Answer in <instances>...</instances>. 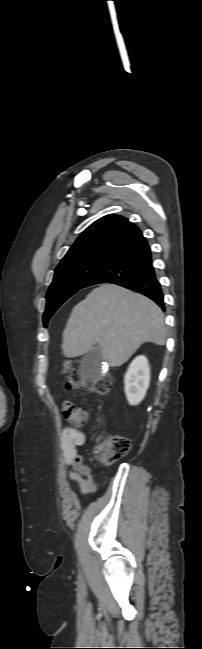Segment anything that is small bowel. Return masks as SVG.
<instances>
[{"instance_id": "1", "label": "small bowel", "mask_w": 202, "mask_h": 649, "mask_svg": "<svg viewBox=\"0 0 202 649\" xmlns=\"http://www.w3.org/2000/svg\"><path fill=\"white\" fill-rule=\"evenodd\" d=\"M86 442L85 434L75 428L65 427L61 436V450L67 466L70 468L68 479L77 483L82 494L94 497L97 493V484L92 476L91 468L84 463L83 457L78 453V447Z\"/></svg>"}]
</instances>
